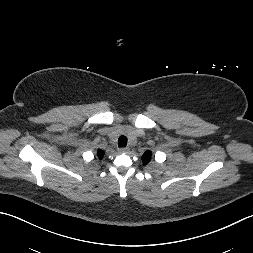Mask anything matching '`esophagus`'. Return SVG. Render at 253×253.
I'll return each instance as SVG.
<instances>
[{
    "label": "esophagus",
    "instance_id": "esophagus-1",
    "mask_svg": "<svg viewBox=\"0 0 253 253\" xmlns=\"http://www.w3.org/2000/svg\"><path fill=\"white\" fill-rule=\"evenodd\" d=\"M128 151H129L128 147H122L119 149V152H121V153H127Z\"/></svg>",
    "mask_w": 253,
    "mask_h": 253
}]
</instances>
